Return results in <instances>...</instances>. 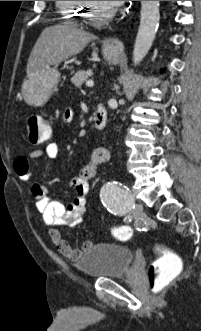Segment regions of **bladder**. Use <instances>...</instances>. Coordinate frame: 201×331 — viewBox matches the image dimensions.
Here are the masks:
<instances>
[{
  "instance_id": "bladder-1",
  "label": "bladder",
  "mask_w": 201,
  "mask_h": 331,
  "mask_svg": "<svg viewBox=\"0 0 201 331\" xmlns=\"http://www.w3.org/2000/svg\"><path fill=\"white\" fill-rule=\"evenodd\" d=\"M134 251L114 243H98L75 263L88 278L112 279L123 277L134 261Z\"/></svg>"
}]
</instances>
